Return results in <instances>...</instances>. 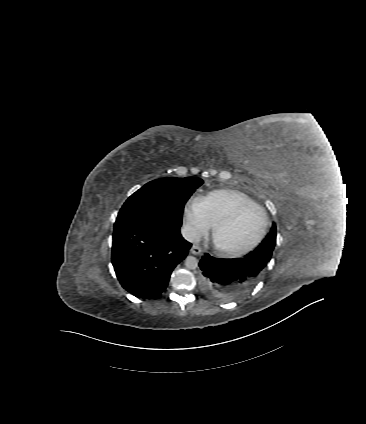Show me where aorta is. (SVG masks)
I'll return each instance as SVG.
<instances>
[{
	"label": "aorta",
	"instance_id": "aorta-1",
	"mask_svg": "<svg viewBox=\"0 0 366 424\" xmlns=\"http://www.w3.org/2000/svg\"><path fill=\"white\" fill-rule=\"evenodd\" d=\"M185 266L190 270H195L198 267V259L194 256H187L185 259Z\"/></svg>",
	"mask_w": 366,
	"mask_h": 424
}]
</instances>
